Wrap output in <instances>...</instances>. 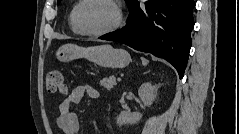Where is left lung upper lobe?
<instances>
[{
  "label": "left lung upper lobe",
  "mask_w": 239,
  "mask_h": 134,
  "mask_svg": "<svg viewBox=\"0 0 239 134\" xmlns=\"http://www.w3.org/2000/svg\"><path fill=\"white\" fill-rule=\"evenodd\" d=\"M134 1H135V0H126L128 6H129V8H130V6L134 3ZM60 2H61V0H57V4H59Z\"/></svg>",
  "instance_id": "1"
}]
</instances>
